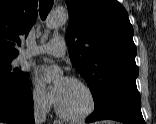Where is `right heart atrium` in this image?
Masks as SVG:
<instances>
[{"label": "right heart atrium", "instance_id": "right-heart-atrium-1", "mask_svg": "<svg viewBox=\"0 0 156 124\" xmlns=\"http://www.w3.org/2000/svg\"><path fill=\"white\" fill-rule=\"evenodd\" d=\"M32 100L36 108L47 111L51 106V97L44 86L38 81L33 82Z\"/></svg>", "mask_w": 156, "mask_h": 124}]
</instances>
